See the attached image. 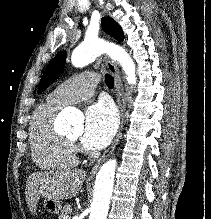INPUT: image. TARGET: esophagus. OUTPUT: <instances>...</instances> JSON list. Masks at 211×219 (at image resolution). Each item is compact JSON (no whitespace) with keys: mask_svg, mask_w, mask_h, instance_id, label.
Wrapping results in <instances>:
<instances>
[{"mask_svg":"<svg viewBox=\"0 0 211 219\" xmlns=\"http://www.w3.org/2000/svg\"><path fill=\"white\" fill-rule=\"evenodd\" d=\"M105 62H106L107 68L109 69V71L111 72V74L113 75V77L115 79V88H116V92H117V105H118V109L120 112L121 122H120V127H119V130L117 132V135H116L114 141L112 142L110 147L102 154V156L99 158L97 163L93 166V168L90 171V175L95 174L97 172L98 168L100 167V165L114 151L115 147L117 146V144L119 143V141L121 139L122 131H123V127H124V121H125L126 102H125V97L123 94V88H122L121 79H120V76L118 73V69L116 67L115 62L113 60H111L110 58L105 57Z\"/></svg>","mask_w":211,"mask_h":219,"instance_id":"1","label":"esophagus"}]
</instances>
